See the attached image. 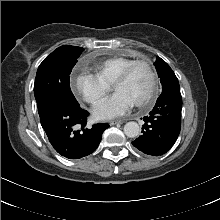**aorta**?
Wrapping results in <instances>:
<instances>
[{
	"label": "aorta",
	"instance_id": "1",
	"mask_svg": "<svg viewBox=\"0 0 220 220\" xmlns=\"http://www.w3.org/2000/svg\"><path fill=\"white\" fill-rule=\"evenodd\" d=\"M124 133L129 138H135L140 134V127L138 123L131 121L127 122L124 126Z\"/></svg>",
	"mask_w": 220,
	"mask_h": 220
}]
</instances>
